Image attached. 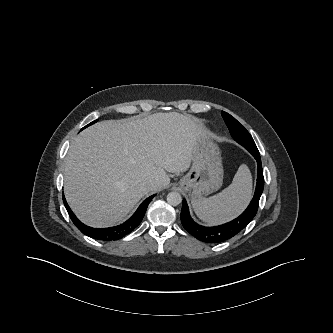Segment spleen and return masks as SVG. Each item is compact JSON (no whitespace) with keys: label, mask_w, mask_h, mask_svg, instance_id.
I'll use <instances>...</instances> for the list:
<instances>
[{"label":"spleen","mask_w":333,"mask_h":333,"mask_svg":"<svg viewBox=\"0 0 333 333\" xmlns=\"http://www.w3.org/2000/svg\"><path fill=\"white\" fill-rule=\"evenodd\" d=\"M252 194V176L242 164L232 183L222 192L209 198L192 200L196 215L208 224H220L239 215L247 206Z\"/></svg>","instance_id":"3e777b00"}]
</instances>
